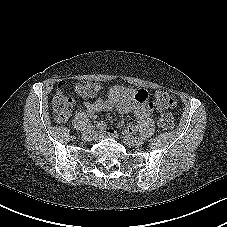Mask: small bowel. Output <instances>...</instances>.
Instances as JSON below:
<instances>
[{"mask_svg": "<svg viewBox=\"0 0 227 227\" xmlns=\"http://www.w3.org/2000/svg\"><path fill=\"white\" fill-rule=\"evenodd\" d=\"M103 89L104 87L101 86L100 90ZM153 107V103L148 100L147 94L144 91L133 90L120 85L110 88L107 97L98 98L94 102L84 103V109L90 116L116 108L121 113L134 112L141 120L151 114ZM135 131L136 126L127 128L128 133ZM108 134L113 136L114 131L109 130Z\"/></svg>", "mask_w": 227, "mask_h": 227, "instance_id": "1", "label": "small bowel"}]
</instances>
